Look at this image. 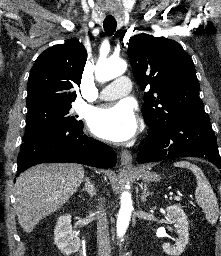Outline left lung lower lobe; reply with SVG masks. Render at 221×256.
<instances>
[{
    "label": "left lung lower lobe",
    "instance_id": "obj_1",
    "mask_svg": "<svg viewBox=\"0 0 221 256\" xmlns=\"http://www.w3.org/2000/svg\"><path fill=\"white\" fill-rule=\"evenodd\" d=\"M138 162H153L178 157H201L221 169L217 139L210 119L183 120L169 127L148 129L138 147Z\"/></svg>",
    "mask_w": 221,
    "mask_h": 256
}]
</instances>
